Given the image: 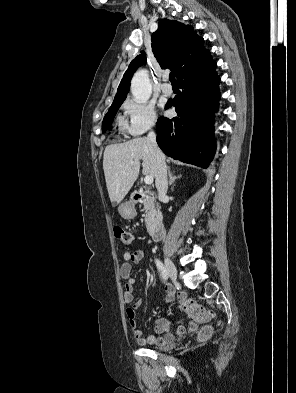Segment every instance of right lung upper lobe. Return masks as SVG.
Segmentation results:
<instances>
[{"label": "right lung upper lobe", "mask_w": 296, "mask_h": 393, "mask_svg": "<svg viewBox=\"0 0 296 393\" xmlns=\"http://www.w3.org/2000/svg\"><path fill=\"white\" fill-rule=\"evenodd\" d=\"M151 41L154 56L160 66L174 70L177 77L206 50L203 38L194 32L193 27L169 19L159 21V28L152 34ZM145 63L146 55L142 51L124 73L114 101L125 100L134 72Z\"/></svg>", "instance_id": "cb5924a9"}]
</instances>
